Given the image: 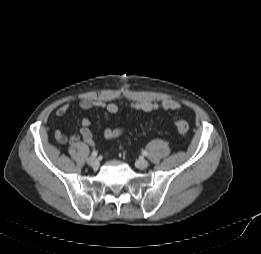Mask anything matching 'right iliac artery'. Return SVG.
<instances>
[{
  "mask_svg": "<svg viewBox=\"0 0 261 254\" xmlns=\"http://www.w3.org/2000/svg\"><path fill=\"white\" fill-rule=\"evenodd\" d=\"M97 154H98V153H97L96 150H94V151L92 152V156H94V157L97 156Z\"/></svg>",
  "mask_w": 261,
  "mask_h": 254,
  "instance_id": "obj_1",
  "label": "right iliac artery"
}]
</instances>
